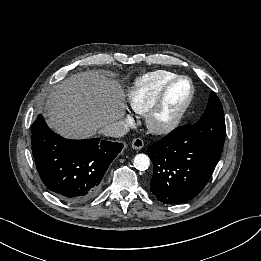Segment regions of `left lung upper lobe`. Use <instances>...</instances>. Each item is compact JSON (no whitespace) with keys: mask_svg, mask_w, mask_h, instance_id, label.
<instances>
[{"mask_svg":"<svg viewBox=\"0 0 261 261\" xmlns=\"http://www.w3.org/2000/svg\"><path fill=\"white\" fill-rule=\"evenodd\" d=\"M198 142L222 152L226 136L225 119L222 104L214 92H211L206 112L195 124Z\"/></svg>","mask_w":261,"mask_h":261,"instance_id":"obj_1","label":"left lung upper lobe"}]
</instances>
